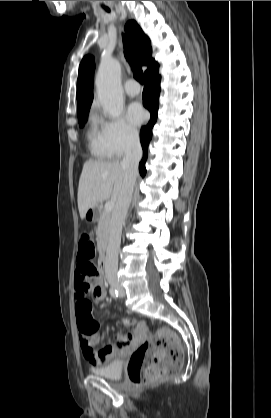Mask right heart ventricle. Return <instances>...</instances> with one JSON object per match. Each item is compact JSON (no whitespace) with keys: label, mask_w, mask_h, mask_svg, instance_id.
I'll return each instance as SVG.
<instances>
[{"label":"right heart ventricle","mask_w":271,"mask_h":418,"mask_svg":"<svg viewBox=\"0 0 271 418\" xmlns=\"http://www.w3.org/2000/svg\"><path fill=\"white\" fill-rule=\"evenodd\" d=\"M88 148L91 154L98 159H110L113 157L104 137L103 126L93 116L87 131Z\"/></svg>","instance_id":"e07e8e85"}]
</instances>
